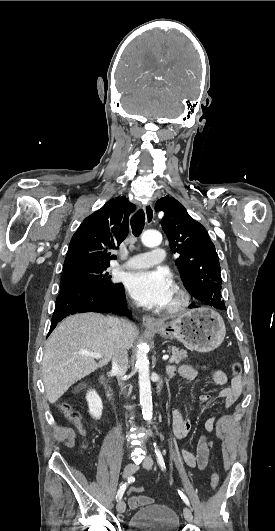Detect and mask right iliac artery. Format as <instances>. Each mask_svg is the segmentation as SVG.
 <instances>
[{
	"label": "right iliac artery",
	"instance_id": "right-iliac-artery-1",
	"mask_svg": "<svg viewBox=\"0 0 275 531\" xmlns=\"http://www.w3.org/2000/svg\"><path fill=\"white\" fill-rule=\"evenodd\" d=\"M134 480H135L134 477H130V478H128L127 482H125L122 486H120V488H119V490L117 492V495H116V499L117 500H120L122 498V496H123V494H124V492H125V490L127 488L128 483H130V482H132Z\"/></svg>",
	"mask_w": 275,
	"mask_h": 531
}]
</instances>
